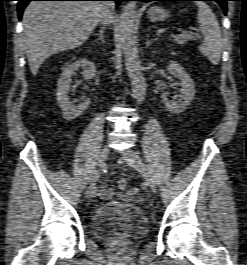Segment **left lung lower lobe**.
Here are the masks:
<instances>
[{
	"label": "left lung lower lobe",
	"instance_id": "left-lung-lower-lobe-1",
	"mask_svg": "<svg viewBox=\"0 0 247 265\" xmlns=\"http://www.w3.org/2000/svg\"><path fill=\"white\" fill-rule=\"evenodd\" d=\"M135 1L150 2V1H178V0H135ZM187 1H198V0H187ZM203 1H216L223 9L224 14H226L227 13V1H230V0H203Z\"/></svg>",
	"mask_w": 247,
	"mask_h": 265
}]
</instances>
